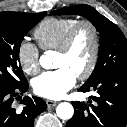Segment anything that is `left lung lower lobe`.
Returning <instances> with one entry per match:
<instances>
[{
  "instance_id": "0a47b994",
  "label": "left lung lower lobe",
  "mask_w": 127,
  "mask_h": 127,
  "mask_svg": "<svg viewBox=\"0 0 127 127\" xmlns=\"http://www.w3.org/2000/svg\"><path fill=\"white\" fill-rule=\"evenodd\" d=\"M90 90L96 94L90 96L89 105L72 102L75 112L66 127H125L127 72H108L97 80L84 84L78 91Z\"/></svg>"
}]
</instances>
